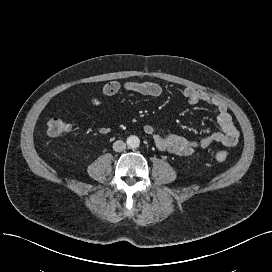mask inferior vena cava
<instances>
[{"mask_svg": "<svg viewBox=\"0 0 272 272\" xmlns=\"http://www.w3.org/2000/svg\"><path fill=\"white\" fill-rule=\"evenodd\" d=\"M126 149V144L122 140H117L113 143V150L116 152H122Z\"/></svg>", "mask_w": 272, "mask_h": 272, "instance_id": "obj_1", "label": "inferior vena cava"}]
</instances>
